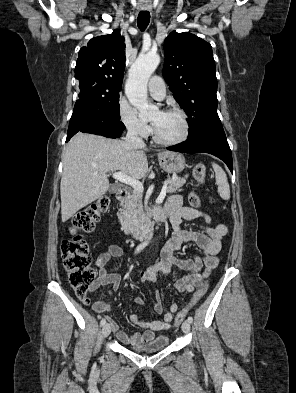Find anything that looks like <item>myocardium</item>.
I'll return each instance as SVG.
<instances>
[{"mask_svg": "<svg viewBox=\"0 0 296 393\" xmlns=\"http://www.w3.org/2000/svg\"><path fill=\"white\" fill-rule=\"evenodd\" d=\"M163 112L175 113L181 117L182 123H183V133L179 138H177L175 140H163L157 135L156 130L152 124V136H153L154 141L156 143H158L160 145H164V146H175V145H179V144L185 142L188 139L189 134H190V123H189V119H188L187 114L182 109L175 108V107L167 108Z\"/></svg>", "mask_w": 296, "mask_h": 393, "instance_id": "myocardium-1", "label": "myocardium"}]
</instances>
